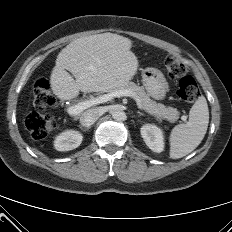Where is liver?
I'll use <instances>...</instances> for the list:
<instances>
[{"mask_svg":"<svg viewBox=\"0 0 232 232\" xmlns=\"http://www.w3.org/2000/svg\"><path fill=\"white\" fill-rule=\"evenodd\" d=\"M131 47L130 39L113 33L74 40L57 56L50 77L53 93L64 101L76 98L80 91L104 93L124 85L138 68ZM81 115L73 116L76 120Z\"/></svg>","mask_w":232,"mask_h":232,"instance_id":"liver-1","label":"liver"}]
</instances>
